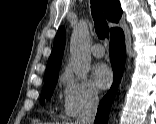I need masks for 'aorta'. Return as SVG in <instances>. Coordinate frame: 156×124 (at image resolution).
<instances>
[{
    "instance_id": "1",
    "label": "aorta",
    "mask_w": 156,
    "mask_h": 124,
    "mask_svg": "<svg viewBox=\"0 0 156 124\" xmlns=\"http://www.w3.org/2000/svg\"><path fill=\"white\" fill-rule=\"evenodd\" d=\"M90 34L85 22H80L74 28L70 41V58L73 71L79 77L86 79L91 67V52L89 48Z\"/></svg>"
}]
</instances>
